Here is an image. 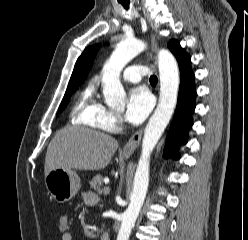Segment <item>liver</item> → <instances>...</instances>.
<instances>
[{
  "label": "liver",
  "mask_w": 248,
  "mask_h": 240,
  "mask_svg": "<svg viewBox=\"0 0 248 240\" xmlns=\"http://www.w3.org/2000/svg\"><path fill=\"white\" fill-rule=\"evenodd\" d=\"M118 148L111 136L81 127H66L56 133L45 157V176L54 169L101 170Z\"/></svg>",
  "instance_id": "6515ba94"
}]
</instances>
